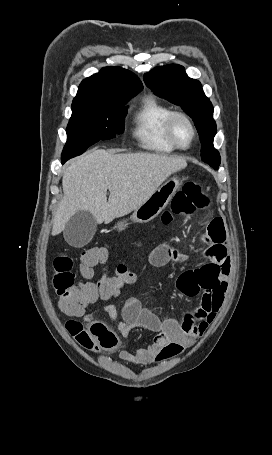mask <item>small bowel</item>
I'll return each instance as SVG.
<instances>
[{
  "label": "small bowel",
  "instance_id": "small-bowel-1",
  "mask_svg": "<svg viewBox=\"0 0 272 455\" xmlns=\"http://www.w3.org/2000/svg\"><path fill=\"white\" fill-rule=\"evenodd\" d=\"M205 240L206 262L182 273L177 282V288L182 294L200 300L198 307L186 314L183 321L160 319L138 298L127 300L121 313L113 304L106 306L107 313L118 323L123 337H128L136 327L156 333L147 347L139 348L134 353L121 351L118 355L121 361L146 365L175 357L192 346L214 321L223 303L231 270L226 231L221 219L214 218L209 222ZM180 259L182 257L167 244L156 246L149 254L150 263L158 267Z\"/></svg>",
  "mask_w": 272,
  "mask_h": 455
}]
</instances>
